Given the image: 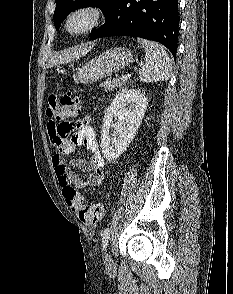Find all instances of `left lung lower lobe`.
<instances>
[{"label": "left lung lower lobe", "instance_id": "1", "mask_svg": "<svg viewBox=\"0 0 233 294\" xmlns=\"http://www.w3.org/2000/svg\"><path fill=\"white\" fill-rule=\"evenodd\" d=\"M178 0H117L104 25L90 40L110 36L141 37L166 46L176 59Z\"/></svg>", "mask_w": 233, "mask_h": 294}]
</instances>
